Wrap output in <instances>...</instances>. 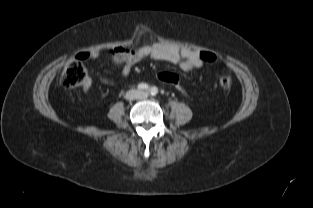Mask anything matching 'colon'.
<instances>
[{"label": "colon", "instance_id": "obj_1", "mask_svg": "<svg viewBox=\"0 0 313 208\" xmlns=\"http://www.w3.org/2000/svg\"><path fill=\"white\" fill-rule=\"evenodd\" d=\"M201 60L204 63L213 64L217 61V56L211 51H202L199 53ZM157 78L162 82L172 85L176 89V93L180 97H187V91L182 85L181 79L178 74L173 72H160ZM88 76L86 69L79 60L69 62L62 74V84L66 88H76L84 86L87 83ZM219 85L222 89H230L232 85L231 78L223 75L219 78Z\"/></svg>", "mask_w": 313, "mask_h": 208}]
</instances>
